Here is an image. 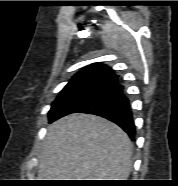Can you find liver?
Wrapping results in <instances>:
<instances>
[{
  "label": "liver",
  "instance_id": "1",
  "mask_svg": "<svg viewBox=\"0 0 178 186\" xmlns=\"http://www.w3.org/2000/svg\"><path fill=\"white\" fill-rule=\"evenodd\" d=\"M133 145L116 124L71 114L48 126L39 158V180H126Z\"/></svg>",
  "mask_w": 178,
  "mask_h": 186
}]
</instances>
